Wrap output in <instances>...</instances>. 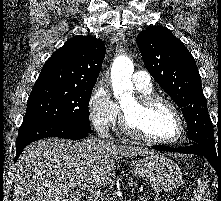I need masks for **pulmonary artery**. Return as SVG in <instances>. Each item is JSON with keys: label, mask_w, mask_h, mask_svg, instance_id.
<instances>
[{"label": "pulmonary artery", "mask_w": 221, "mask_h": 201, "mask_svg": "<svg viewBox=\"0 0 221 201\" xmlns=\"http://www.w3.org/2000/svg\"><path fill=\"white\" fill-rule=\"evenodd\" d=\"M132 78L138 89H148L152 87L151 77L149 73L145 71H136Z\"/></svg>", "instance_id": "e3ab8cb5"}]
</instances>
